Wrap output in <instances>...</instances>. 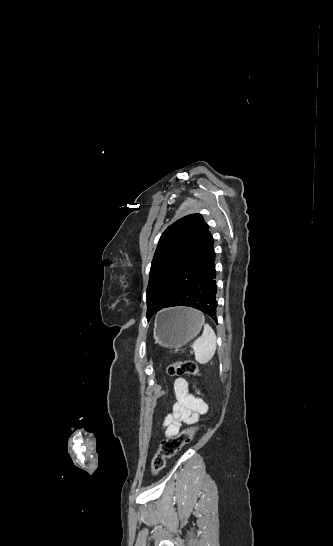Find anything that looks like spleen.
Masks as SVG:
<instances>
[{
  "label": "spleen",
  "instance_id": "spleen-1",
  "mask_svg": "<svg viewBox=\"0 0 333 546\" xmlns=\"http://www.w3.org/2000/svg\"><path fill=\"white\" fill-rule=\"evenodd\" d=\"M199 313L204 318L203 314L201 312ZM216 341L217 339L214 330L209 324H205L203 334L195 340L192 345L195 360L199 364H205L212 359L217 347Z\"/></svg>",
  "mask_w": 333,
  "mask_h": 546
}]
</instances>
